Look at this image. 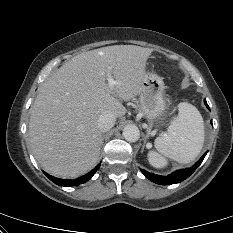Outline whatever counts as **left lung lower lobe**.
<instances>
[{
  "label": "left lung lower lobe",
  "mask_w": 233,
  "mask_h": 233,
  "mask_svg": "<svg viewBox=\"0 0 233 233\" xmlns=\"http://www.w3.org/2000/svg\"><path fill=\"white\" fill-rule=\"evenodd\" d=\"M204 103H205L206 107L210 110V108L206 102V99H204ZM211 123H212V120H211ZM206 154H207V152L200 158L199 161H197L195 163V165L193 167L188 168V169H181V170L175 171L174 173H172L168 176L155 175L153 173H148L145 170H141V172L145 175V177H147L148 179H150L151 181H153L154 183H157V184L170 185V184L180 183L181 181L188 178L196 170V168L203 161Z\"/></svg>",
  "instance_id": "1"
}]
</instances>
